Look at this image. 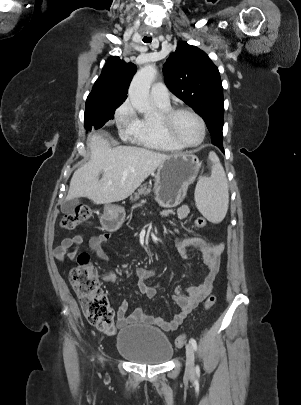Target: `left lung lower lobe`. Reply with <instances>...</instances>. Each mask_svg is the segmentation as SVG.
<instances>
[{
	"label": "left lung lower lobe",
	"instance_id": "1",
	"mask_svg": "<svg viewBox=\"0 0 301 405\" xmlns=\"http://www.w3.org/2000/svg\"><path fill=\"white\" fill-rule=\"evenodd\" d=\"M211 142L223 151V146H222L221 141H219L217 138L214 137L211 139Z\"/></svg>",
	"mask_w": 301,
	"mask_h": 405
}]
</instances>
